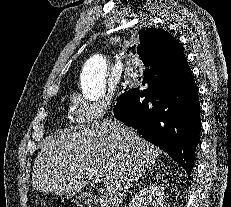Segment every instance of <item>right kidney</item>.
<instances>
[{
  "label": "right kidney",
  "instance_id": "right-kidney-1",
  "mask_svg": "<svg viewBox=\"0 0 231 207\" xmlns=\"http://www.w3.org/2000/svg\"><path fill=\"white\" fill-rule=\"evenodd\" d=\"M164 192L154 184L144 187L132 198L129 207H163Z\"/></svg>",
  "mask_w": 231,
  "mask_h": 207
}]
</instances>
